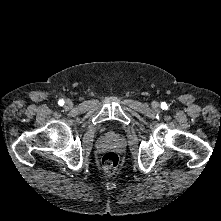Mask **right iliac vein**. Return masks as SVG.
Returning a JSON list of instances; mask_svg holds the SVG:
<instances>
[{
  "instance_id": "right-iliac-vein-1",
  "label": "right iliac vein",
  "mask_w": 221,
  "mask_h": 221,
  "mask_svg": "<svg viewBox=\"0 0 221 221\" xmlns=\"http://www.w3.org/2000/svg\"><path fill=\"white\" fill-rule=\"evenodd\" d=\"M73 106V103L71 100H67L66 103H65V108L66 109H71Z\"/></svg>"
}]
</instances>
